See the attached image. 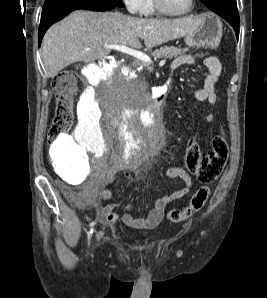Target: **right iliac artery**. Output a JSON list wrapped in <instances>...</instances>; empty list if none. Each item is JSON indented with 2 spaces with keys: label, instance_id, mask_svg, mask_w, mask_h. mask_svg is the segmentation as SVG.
Returning a JSON list of instances; mask_svg holds the SVG:
<instances>
[{
  "label": "right iliac artery",
  "instance_id": "1",
  "mask_svg": "<svg viewBox=\"0 0 267 298\" xmlns=\"http://www.w3.org/2000/svg\"><path fill=\"white\" fill-rule=\"evenodd\" d=\"M94 225H95V222H92V223H91V229H90V231L88 232V243H89L90 238H91V236H92Z\"/></svg>",
  "mask_w": 267,
  "mask_h": 298
}]
</instances>
